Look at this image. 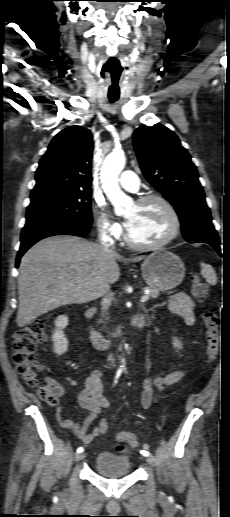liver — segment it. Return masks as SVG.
<instances>
[{"instance_id": "obj_1", "label": "liver", "mask_w": 230, "mask_h": 517, "mask_svg": "<svg viewBox=\"0 0 230 517\" xmlns=\"http://www.w3.org/2000/svg\"><path fill=\"white\" fill-rule=\"evenodd\" d=\"M113 249L75 236L50 237L32 246L19 267L16 322L32 320L67 304H82L108 293L120 276ZM145 256L130 260L139 262Z\"/></svg>"}]
</instances>
